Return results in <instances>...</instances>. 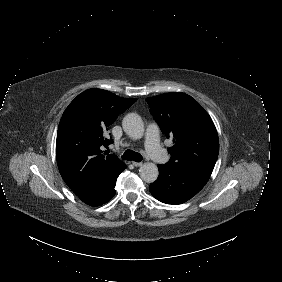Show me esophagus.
I'll return each instance as SVG.
<instances>
[{"mask_svg":"<svg viewBox=\"0 0 282 282\" xmlns=\"http://www.w3.org/2000/svg\"><path fill=\"white\" fill-rule=\"evenodd\" d=\"M132 164H133L135 167H140L143 163H142V162H135V161H133Z\"/></svg>","mask_w":282,"mask_h":282,"instance_id":"obj_1","label":"esophagus"}]
</instances>
